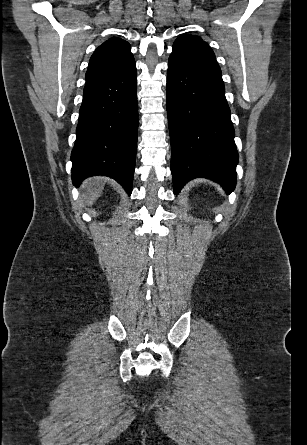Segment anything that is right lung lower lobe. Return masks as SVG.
<instances>
[{
	"label": "right lung lower lobe",
	"mask_w": 307,
	"mask_h": 445,
	"mask_svg": "<svg viewBox=\"0 0 307 445\" xmlns=\"http://www.w3.org/2000/svg\"><path fill=\"white\" fill-rule=\"evenodd\" d=\"M135 63L120 73L87 81L71 154L72 181L104 175L132 192L138 105Z\"/></svg>",
	"instance_id": "98d812e1"
}]
</instances>
